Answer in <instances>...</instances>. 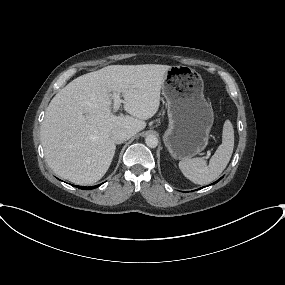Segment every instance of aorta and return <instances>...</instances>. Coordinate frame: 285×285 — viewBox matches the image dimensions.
I'll use <instances>...</instances> for the list:
<instances>
[{"instance_id": "1", "label": "aorta", "mask_w": 285, "mask_h": 285, "mask_svg": "<svg viewBox=\"0 0 285 285\" xmlns=\"http://www.w3.org/2000/svg\"><path fill=\"white\" fill-rule=\"evenodd\" d=\"M145 143L150 148H155L158 145V138L155 135H148L145 139Z\"/></svg>"}]
</instances>
